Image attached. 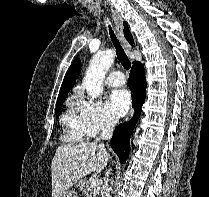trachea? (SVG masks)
Segmentation results:
<instances>
[{
    "mask_svg": "<svg viewBox=\"0 0 209 197\" xmlns=\"http://www.w3.org/2000/svg\"><path fill=\"white\" fill-rule=\"evenodd\" d=\"M109 34H110L111 40L113 42V45L116 49L117 58L119 59L122 66L125 69L129 70L130 67H131V63H130L127 55L125 54L124 49L120 45V42L117 39V37H116V35H115L114 31L112 30L110 25H109Z\"/></svg>",
    "mask_w": 209,
    "mask_h": 197,
    "instance_id": "trachea-1",
    "label": "trachea"
}]
</instances>
